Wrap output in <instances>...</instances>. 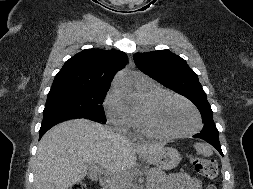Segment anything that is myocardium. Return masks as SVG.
Returning <instances> with one entry per match:
<instances>
[{
    "mask_svg": "<svg viewBox=\"0 0 253 189\" xmlns=\"http://www.w3.org/2000/svg\"><path fill=\"white\" fill-rule=\"evenodd\" d=\"M166 97H172L175 98L183 103H185L187 106H189L196 116V126L188 131L180 132V133H173L168 132L160 128L155 120H154V112L160 101ZM202 126V119L199 110L196 108V106L190 102L185 97L174 93L170 91H164L156 96H154L151 100H149L141 113V128L144 133H146L149 136L156 137V138H162V139H177V138H183L190 135H193L197 133Z\"/></svg>",
    "mask_w": 253,
    "mask_h": 189,
    "instance_id": "1",
    "label": "myocardium"
}]
</instances>
